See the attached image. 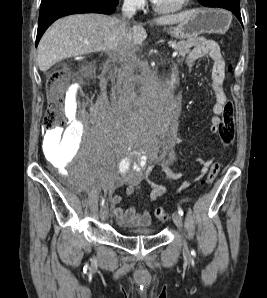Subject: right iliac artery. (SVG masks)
Here are the masks:
<instances>
[{
    "mask_svg": "<svg viewBox=\"0 0 267 298\" xmlns=\"http://www.w3.org/2000/svg\"><path fill=\"white\" fill-rule=\"evenodd\" d=\"M104 203H105V198H102V200H101V206H103L104 205Z\"/></svg>",
    "mask_w": 267,
    "mask_h": 298,
    "instance_id": "1",
    "label": "right iliac artery"
}]
</instances>
